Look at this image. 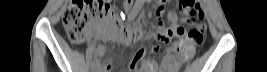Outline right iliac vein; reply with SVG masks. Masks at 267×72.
<instances>
[{"instance_id":"obj_1","label":"right iliac vein","mask_w":267,"mask_h":72,"mask_svg":"<svg viewBox=\"0 0 267 72\" xmlns=\"http://www.w3.org/2000/svg\"><path fill=\"white\" fill-rule=\"evenodd\" d=\"M97 71H98L97 65H94V66L92 67V72H97Z\"/></svg>"}]
</instances>
